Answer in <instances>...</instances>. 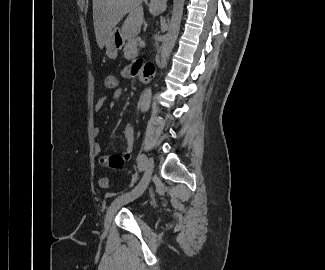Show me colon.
Wrapping results in <instances>:
<instances>
[{
    "instance_id": "1",
    "label": "colon",
    "mask_w": 325,
    "mask_h": 270,
    "mask_svg": "<svg viewBox=\"0 0 325 270\" xmlns=\"http://www.w3.org/2000/svg\"><path fill=\"white\" fill-rule=\"evenodd\" d=\"M119 81L114 73L106 74L104 78V87L107 90H116L118 88ZM99 185L102 188H107L109 186V180L107 177L102 176L99 178Z\"/></svg>"
}]
</instances>
